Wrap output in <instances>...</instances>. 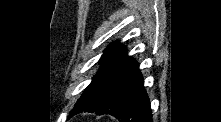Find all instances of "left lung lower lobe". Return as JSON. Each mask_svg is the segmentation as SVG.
I'll return each mask as SVG.
<instances>
[{"label":"left lung lower lobe","mask_w":221,"mask_h":122,"mask_svg":"<svg viewBox=\"0 0 221 122\" xmlns=\"http://www.w3.org/2000/svg\"><path fill=\"white\" fill-rule=\"evenodd\" d=\"M110 114L123 122H152L150 103L137 62L126 51L98 90L70 117L81 112Z\"/></svg>","instance_id":"obj_1"}]
</instances>
